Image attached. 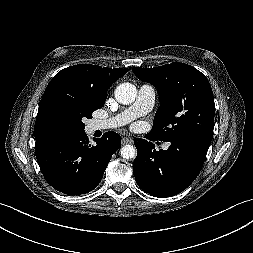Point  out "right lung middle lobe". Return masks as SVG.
Returning a JSON list of instances; mask_svg holds the SVG:
<instances>
[{
  "label": "right lung middle lobe",
  "mask_w": 253,
  "mask_h": 253,
  "mask_svg": "<svg viewBox=\"0 0 253 253\" xmlns=\"http://www.w3.org/2000/svg\"><path fill=\"white\" fill-rule=\"evenodd\" d=\"M106 97L96 96L82 89L55 87L45 92L36 117L34 134L41 136L52 132H84V118L101 108Z\"/></svg>",
  "instance_id": "obj_1"
}]
</instances>
